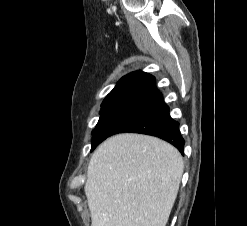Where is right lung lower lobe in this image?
<instances>
[{
  "label": "right lung lower lobe",
  "mask_w": 247,
  "mask_h": 226,
  "mask_svg": "<svg viewBox=\"0 0 247 226\" xmlns=\"http://www.w3.org/2000/svg\"><path fill=\"white\" fill-rule=\"evenodd\" d=\"M121 132L159 137L183 153L179 123L170 117L169 107L156 89L155 78L148 73L132 72L117 83L92 132L91 151L107 137Z\"/></svg>",
  "instance_id": "98d812e1"
}]
</instances>
